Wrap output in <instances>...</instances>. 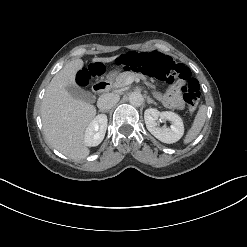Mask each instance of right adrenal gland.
Masks as SVG:
<instances>
[{
    "label": "right adrenal gland",
    "mask_w": 247,
    "mask_h": 247,
    "mask_svg": "<svg viewBox=\"0 0 247 247\" xmlns=\"http://www.w3.org/2000/svg\"><path fill=\"white\" fill-rule=\"evenodd\" d=\"M99 112L108 113V111L99 110Z\"/></svg>",
    "instance_id": "1"
}]
</instances>
